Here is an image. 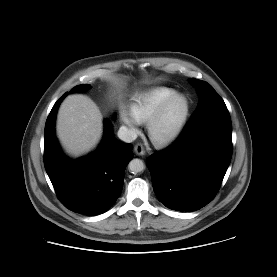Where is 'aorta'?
Wrapping results in <instances>:
<instances>
[{
    "label": "aorta",
    "instance_id": "aorta-1",
    "mask_svg": "<svg viewBox=\"0 0 277 277\" xmlns=\"http://www.w3.org/2000/svg\"><path fill=\"white\" fill-rule=\"evenodd\" d=\"M145 169V165L142 160L140 159H133L129 163V170L131 173H139L142 172Z\"/></svg>",
    "mask_w": 277,
    "mask_h": 277
}]
</instances>
